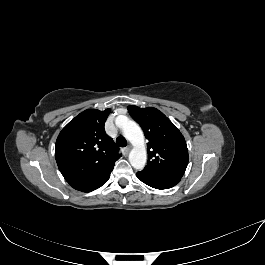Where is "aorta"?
<instances>
[{
	"mask_svg": "<svg viewBox=\"0 0 265 265\" xmlns=\"http://www.w3.org/2000/svg\"><path fill=\"white\" fill-rule=\"evenodd\" d=\"M119 126L123 135L133 145V149L129 154V161L133 168L142 170L147 161V152L144 142V135L141 128L134 121L125 119L121 120Z\"/></svg>",
	"mask_w": 265,
	"mask_h": 265,
	"instance_id": "aorta-1",
	"label": "aorta"
}]
</instances>
